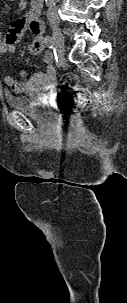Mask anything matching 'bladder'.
Here are the masks:
<instances>
[{"label":"bladder","mask_w":127,"mask_h":303,"mask_svg":"<svg viewBox=\"0 0 127 303\" xmlns=\"http://www.w3.org/2000/svg\"><path fill=\"white\" fill-rule=\"evenodd\" d=\"M36 93L23 95H6V103L9 108L20 111L35 120H44L48 117L46 104Z\"/></svg>","instance_id":"31cf9c89"}]
</instances>
